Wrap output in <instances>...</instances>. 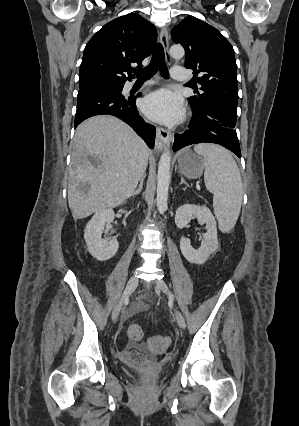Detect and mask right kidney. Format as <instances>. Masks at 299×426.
Returning a JSON list of instances; mask_svg holds the SVG:
<instances>
[{"label":"right kidney","mask_w":299,"mask_h":426,"mask_svg":"<svg viewBox=\"0 0 299 426\" xmlns=\"http://www.w3.org/2000/svg\"><path fill=\"white\" fill-rule=\"evenodd\" d=\"M119 212L126 213L123 209L119 210ZM114 217L115 213L111 208L96 212L84 230V239L88 251L99 261H106L112 258L118 251L119 243L116 238L102 239L105 224L111 223Z\"/></svg>","instance_id":"right-kidney-1"}]
</instances>
